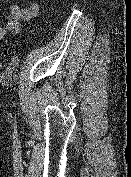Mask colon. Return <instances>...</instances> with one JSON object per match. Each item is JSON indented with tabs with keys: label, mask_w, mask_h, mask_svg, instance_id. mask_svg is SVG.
<instances>
[{
	"label": "colon",
	"mask_w": 131,
	"mask_h": 177,
	"mask_svg": "<svg viewBox=\"0 0 131 177\" xmlns=\"http://www.w3.org/2000/svg\"><path fill=\"white\" fill-rule=\"evenodd\" d=\"M2 65H3V61H2V59L0 58V68L2 67Z\"/></svg>",
	"instance_id": "1"
}]
</instances>
